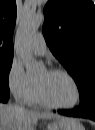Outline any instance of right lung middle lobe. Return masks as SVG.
<instances>
[{
    "mask_svg": "<svg viewBox=\"0 0 95 130\" xmlns=\"http://www.w3.org/2000/svg\"><path fill=\"white\" fill-rule=\"evenodd\" d=\"M12 66V59H0V91H9L8 73Z\"/></svg>",
    "mask_w": 95,
    "mask_h": 130,
    "instance_id": "right-lung-middle-lobe-1",
    "label": "right lung middle lobe"
}]
</instances>
